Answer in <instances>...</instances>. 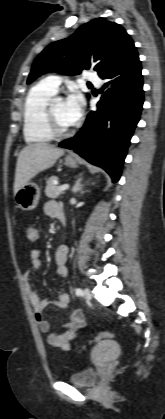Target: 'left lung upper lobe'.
Segmentation results:
<instances>
[{
	"mask_svg": "<svg viewBox=\"0 0 165 419\" xmlns=\"http://www.w3.org/2000/svg\"><path fill=\"white\" fill-rule=\"evenodd\" d=\"M134 48L125 29L102 18L82 25L70 37L48 45L35 59L27 83L47 72L66 75L94 67L101 77Z\"/></svg>",
	"mask_w": 165,
	"mask_h": 419,
	"instance_id": "1",
	"label": "left lung upper lobe"
}]
</instances>
